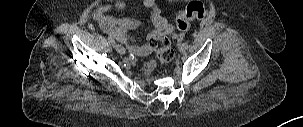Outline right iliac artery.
I'll return each instance as SVG.
<instances>
[{"mask_svg":"<svg viewBox=\"0 0 303 127\" xmlns=\"http://www.w3.org/2000/svg\"><path fill=\"white\" fill-rule=\"evenodd\" d=\"M107 40H108V43L110 44V45H112V46H114L115 47V41H114V39L113 38H111V37H107Z\"/></svg>","mask_w":303,"mask_h":127,"instance_id":"right-iliac-artery-1","label":"right iliac artery"}]
</instances>
